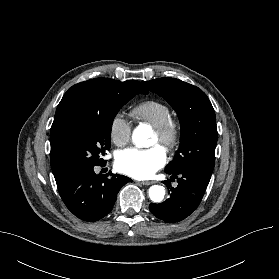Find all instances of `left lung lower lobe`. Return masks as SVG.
<instances>
[{
    "label": "left lung lower lobe",
    "instance_id": "obj_1",
    "mask_svg": "<svg viewBox=\"0 0 279 279\" xmlns=\"http://www.w3.org/2000/svg\"><path fill=\"white\" fill-rule=\"evenodd\" d=\"M169 174L171 180L178 177V186L173 188L170 180L164 181L170 197L161 204L151 203L149 209L157 218L173 223L185 219L198 207L210 180L190 171Z\"/></svg>",
    "mask_w": 279,
    "mask_h": 279
}]
</instances>
